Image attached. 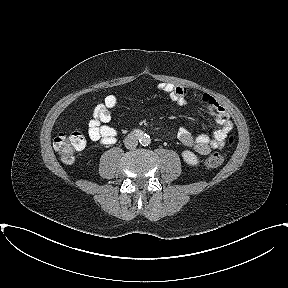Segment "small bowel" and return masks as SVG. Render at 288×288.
Segmentation results:
<instances>
[{
	"label": "small bowel",
	"mask_w": 288,
	"mask_h": 288,
	"mask_svg": "<svg viewBox=\"0 0 288 288\" xmlns=\"http://www.w3.org/2000/svg\"><path fill=\"white\" fill-rule=\"evenodd\" d=\"M157 88L179 106L188 103L187 90L184 86L160 82ZM118 101L117 95H108L102 103L94 108L93 117L88 123V134L93 142L102 146L112 145L116 142L118 132L107 123L111 120L112 110L117 106ZM200 101L214 119L217 125L216 130L212 136L200 134L194 137L188 129L180 128L177 139L197 153L208 155L212 150H218L224 146L228 133L232 129V123L227 110L212 96L204 93L200 96Z\"/></svg>",
	"instance_id": "small-bowel-1"
}]
</instances>
